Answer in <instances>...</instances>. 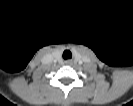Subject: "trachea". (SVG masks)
<instances>
[{"mask_svg":"<svg viewBox=\"0 0 133 106\" xmlns=\"http://www.w3.org/2000/svg\"><path fill=\"white\" fill-rule=\"evenodd\" d=\"M71 57H72V54L69 50L64 51V53H63V58L64 59H68V58H71Z\"/></svg>","mask_w":133,"mask_h":106,"instance_id":"obj_1","label":"trachea"}]
</instances>
